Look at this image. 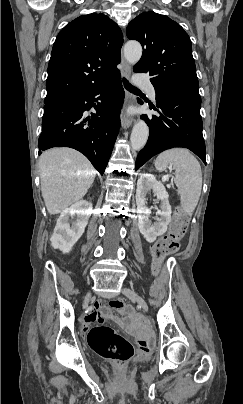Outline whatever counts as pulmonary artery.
I'll use <instances>...</instances> for the list:
<instances>
[{
    "label": "pulmonary artery",
    "instance_id": "pulmonary-artery-1",
    "mask_svg": "<svg viewBox=\"0 0 243 404\" xmlns=\"http://www.w3.org/2000/svg\"><path fill=\"white\" fill-rule=\"evenodd\" d=\"M145 91L147 92L149 98L152 101L156 100V90L155 87L152 83H148L147 85L144 86Z\"/></svg>",
    "mask_w": 243,
    "mask_h": 404
}]
</instances>
